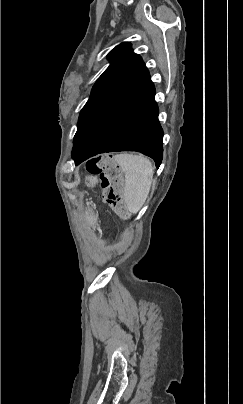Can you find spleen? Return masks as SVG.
<instances>
[{
	"instance_id": "1",
	"label": "spleen",
	"mask_w": 243,
	"mask_h": 404,
	"mask_svg": "<svg viewBox=\"0 0 243 404\" xmlns=\"http://www.w3.org/2000/svg\"><path fill=\"white\" fill-rule=\"evenodd\" d=\"M115 160L125 174L124 202L130 214H137L148 198L153 166L142 154H119Z\"/></svg>"
}]
</instances>
